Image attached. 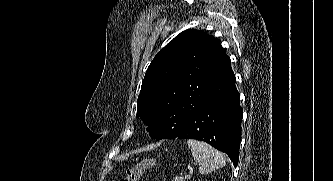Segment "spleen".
<instances>
[{"instance_id": "spleen-1", "label": "spleen", "mask_w": 333, "mask_h": 181, "mask_svg": "<svg viewBox=\"0 0 333 181\" xmlns=\"http://www.w3.org/2000/svg\"><path fill=\"white\" fill-rule=\"evenodd\" d=\"M192 156L199 164V172L207 174L225 166L224 155L205 142L187 140Z\"/></svg>"}]
</instances>
